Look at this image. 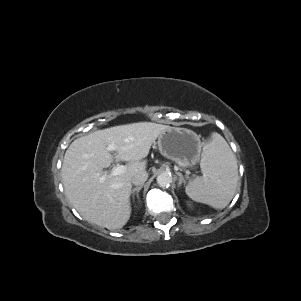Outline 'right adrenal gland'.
<instances>
[{"label": "right adrenal gland", "instance_id": "right-adrenal-gland-1", "mask_svg": "<svg viewBox=\"0 0 301 301\" xmlns=\"http://www.w3.org/2000/svg\"><path fill=\"white\" fill-rule=\"evenodd\" d=\"M142 187H143V185H140L132 190L131 195H132L133 199H134L135 193H136V196L139 198V191L142 189Z\"/></svg>", "mask_w": 301, "mask_h": 301}]
</instances>
